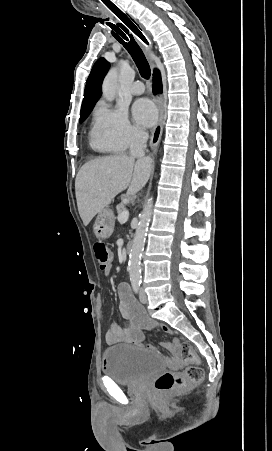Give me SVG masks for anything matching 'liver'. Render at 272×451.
I'll list each match as a JSON object with an SVG mask.
<instances>
[{"mask_svg": "<svg viewBox=\"0 0 272 451\" xmlns=\"http://www.w3.org/2000/svg\"><path fill=\"white\" fill-rule=\"evenodd\" d=\"M151 164V158L135 162L133 156L125 154L86 162L75 180L78 212L84 226L126 188V196L140 192L151 176Z\"/></svg>", "mask_w": 272, "mask_h": 451, "instance_id": "6515ba94", "label": "liver"}]
</instances>
